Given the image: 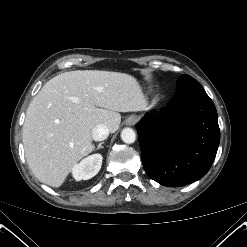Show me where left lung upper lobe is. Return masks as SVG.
<instances>
[{
	"label": "left lung upper lobe",
	"mask_w": 247,
	"mask_h": 247,
	"mask_svg": "<svg viewBox=\"0 0 247 247\" xmlns=\"http://www.w3.org/2000/svg\"><path fill=\"white\" fill-rule=\"evenodd\" d=\"M189 78H192V77H190V76H188V75H182V76L179 78L178 81H185V80H187V79H189Z\"/></svg>",
	"instance_id": "5c2ea615"
}]
</instances>
